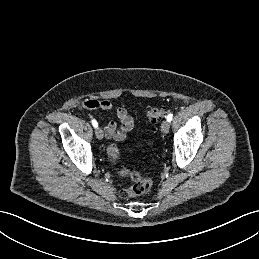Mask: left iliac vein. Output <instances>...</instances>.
<instances>
[{
  "label": "left iliac vein",
  "instance_id": "obj_1",
  "mask_svg": "<svg viewBox=\"0 0 259 259\" xmlns=\"http://www.w3.org/2000/svg\"><path fill=\"white\" fill-rule=\"evenodd\" d=\"M170 129V123L167 120H164L161 124V131L164 134H167L169 132Z\"/></svg>",
  "mask_w": 259,
  "mask_h": 259
}]
</instances>
